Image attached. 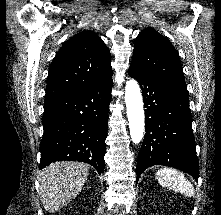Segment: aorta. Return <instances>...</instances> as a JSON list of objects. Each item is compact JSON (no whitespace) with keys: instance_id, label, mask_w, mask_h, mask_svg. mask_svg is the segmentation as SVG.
Here are the masks:
<instances>
[{"instance_id":"1","label":"aorta","mask_w":221,"mask_h":215,"mask_svg":"<svg viewBox=\"0 0 221 215\" xmlns=\"http://www.w3.org/2000/svg\"><path fill=\"white\" fill-rule=\"evenodd\" d=\"M125 103L131 140L134 144H139L144 136L145 119L141 90L134 79L126 82Z\"/></svg>"}]
</instances>
